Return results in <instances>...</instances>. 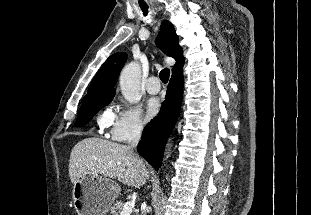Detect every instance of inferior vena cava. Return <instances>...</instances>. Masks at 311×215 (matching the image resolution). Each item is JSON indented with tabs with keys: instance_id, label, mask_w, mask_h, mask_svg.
<instances>
[{
	"instance_id": "inferior-vena-cava-1",
	"label": "inferior vena cava",
	"mask_w": 311,
	"mask_h": 215,
	"mask_svg": "<svg viewBox=\"0 0 311 215\" xmlns=\"http://www.w3.org/2000/svg\"><path fill=\"white\" fill-rule=\"evenodd\" d=\"M142 128L140 126H136L132 129L129 137V148L134 149L137 147L140 137H141ZM146 215V214H144Z\"/></svg>"
}]
</instances>
